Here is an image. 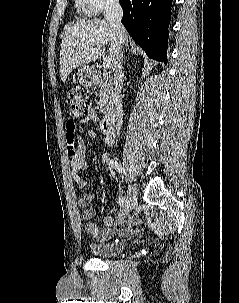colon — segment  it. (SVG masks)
Masks as SVG:
<instances>
[{
	"instance_id": "colon-1",
	"label": "colon",
	"mask_w": 239,
	"mask_h": 303,
	"mask_svg": "<svg viewBox=\"0 0 239 303\" xmlns=\"http://www.w3.org/2000/svg\"><path fill=\"white\" fill-rule=\"evenodd\" d=\"M69 103V116L70 120L67 123V127L73 130L75 127V121L83 117H87L90 112V104L78 91L72 90L68 95Z\"/></svg>"
}]
</instances>
